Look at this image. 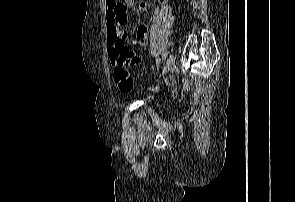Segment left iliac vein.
I'll list each match as a JSON object with an SVG mask.
<instances>
[{
	"mask_svg": "<svg viewBox=\"0 0 295 202\" xmlns=\"http://www.w3.org/2000/svg\"><path fill=\"white\" fill-rule=\"evenodd\" d=\"M174 64H175V56L174 54L171 53L162 69L160 77L167 74L173 68Z\"/></svg>",
	"mask_w": 295,
	"mask_h": 202,
	"instance_id": "4c4485c4",
	"label": "left iliac vein"
}]
</instances>
